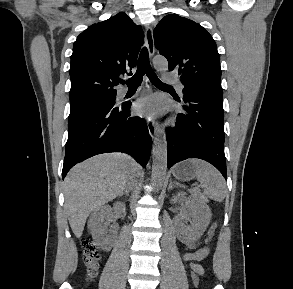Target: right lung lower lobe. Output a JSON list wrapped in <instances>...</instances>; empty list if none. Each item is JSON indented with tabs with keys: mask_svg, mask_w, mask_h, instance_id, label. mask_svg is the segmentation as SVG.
Returning a JSON list of instances; mask_svg holds the SVG:
<instances>
[{
	"mask_svg": "<svg viewBox=\"0 0 293 289\" xmlns=\"http://www.w3.org/2000/svg\"><path fill=\"white\" fill-rule=\"evenodd\" d=\"M131 103L109 105L68 121L62 178L78 162L106 152H125L146 166L152 140L145 121L130 115Z\"/></svg>",
	"mask_w": 293,
	"mask_h": 289,
	"instance_id": "obj_1",
	"label": "right lung lower lobe"
}]
</instances>
